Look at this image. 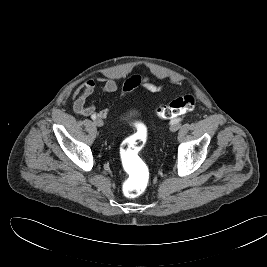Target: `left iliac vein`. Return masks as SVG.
I'll return each instance as SVG.
<instances>
[{
	"label": "left iliac vein",
	"mask_w": 267,
	"mask_h": 267,
	"mask_svg": "<svg viewBox=\"0 0 267 267\" xmlns=\"http://www.w3.org/2000/svg\"><path fill=\"white\" fill-rule=\"evenodd\" d=\"M181 124L180 123H174L170 125V131L171 132H176L180 128Z\"/></svg>",
	"instance_id": "4c4485c4"
}]
</instances>
